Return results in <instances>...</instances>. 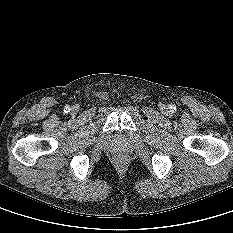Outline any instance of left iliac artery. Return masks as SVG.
Returning a JSON list of instances; mask_svg holds the SVG:
<instances>
[{
    "instance_id": "left-iliac-artery-1",
    "label": "left iliac artery",
    "mask_w": 233,
    "mask_h": 233,
    "mask_svg": "<svg viewBox=\"0 0 233 233\" xmlns=\"http://www.w3.org/2000/svg\"><path fill=\"white\" fill-rule=\"evenodd\" d=\"M170 108H171L172 110H176V108H175L174 105H172Z\"/></svg>"
}]
</instances>
